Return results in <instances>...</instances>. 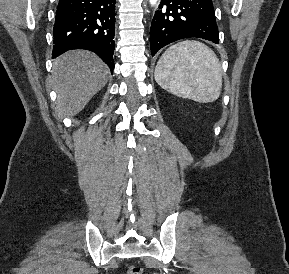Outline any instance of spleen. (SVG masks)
I'll use <instances>...</instances> for the list:
<instances>
[{
  "mask_svg": "<svg viewBox=\"0 0 289 274\" xmlns=\"http://www.w3.org/2000/svg\"><path fill=\"white\" fill-rule=\"evenodd\" d=\"M221 72L214 51L198 41L186 40L162 54L155 68V80L176 96L208 103L220 96Z\"/></svg>",
  "mask_w": 289,
  "mask_h": 274,
  "instance_id": "obj_1",
  "label": "spleen"
}]
</instances>
